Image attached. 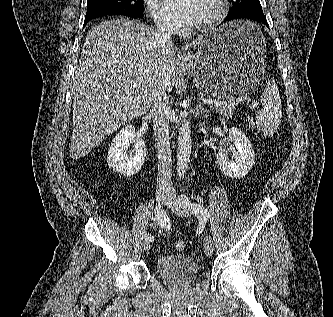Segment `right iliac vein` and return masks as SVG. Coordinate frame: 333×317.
Segmentation results:
<instances>
[{"label": "right iliac vein", "mask_w": 333, "mask_h": 317, "mask_svg": "<svg viewBox=\"0 0 333 317\" xmlns=\"http://www.w3.org/2000/svg\"><path fill=\"white\" fill-rule=\"evenodd\" d=\"M168 194L169 193L165 190H159L157 192V201L159 202V204L163 205L166 203ZM150 248H151V241L145 239L142 243V249L144 251H148Z\"/></svg>", "instance_id": "obj_1"}]
</instances>
